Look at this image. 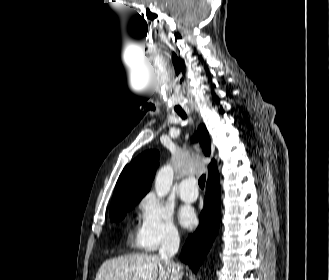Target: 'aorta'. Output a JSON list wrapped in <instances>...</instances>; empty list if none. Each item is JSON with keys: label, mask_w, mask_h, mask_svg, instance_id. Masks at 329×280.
<instances>
[{"label": "aorta", "mask_w": 329, "mask_h": 280, "mask_svg": "<svg viewBox=\"0 0 329 280\" xmlns=\"http://www.w3.org/2000/svg\"><path fill=\"white\" fill-rule=\"evenodd\" d=\"M173 177L174 171L170 165H165L158 171L155 178V192L159 198H163L169 193Z\"/></svg>", "instance_id": "1"}]
</instances>
